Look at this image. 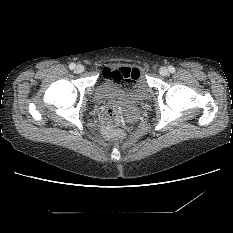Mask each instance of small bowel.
<instances>
[{"label":"small bowel","mask_w":233,"mask_h":233,"mask_svg":"<svg viewBox=\"0 0 233 233\" xmlns=\"http://www.w3.org/2000/svg\"><path fill=\"white\" fill-rule=\"evenodd\" d=\"M117 70V68H112V67H107L103 70V73L106 72L112 76H115V71Z\"/></svg>","instance_id":"obj_1"}]
</instances>
